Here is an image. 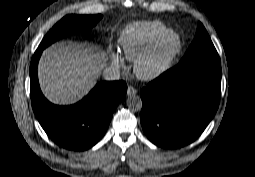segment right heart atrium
Segmentation results:
<instances>
[{"label": "right heart atrium", "instance_id": "1", "mask_svg": "<svg viewBox=\"0 0 255 177\" xmlns=\"http://www.w3.org/2000/svg\"><path fill=\"white\" fill-rule=\"evenodd\" d=\"M113 62L115 64V66H117L120 69L125 67L124 59L122 58V56L118 52L114 53Z\"/></svg>", "mask_w": 255, "mask_h": 177}]
</instances>
